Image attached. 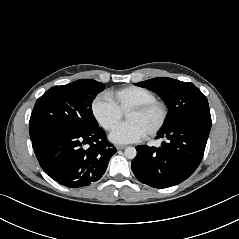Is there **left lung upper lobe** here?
<instances>
[{
	"instance_id": "1",
	"label": "left lung upper lobe",
	"mask_w": 239,
	"mask_h": 239,
	"mask_svg": "<svg viewBox=\"0 0 239 239\" xmlns=\"http://www.w3.org/2000/svg\"><path fill=\"white\" fill-rule=\"evenodd\" d=\"M136 85L156 92L165 101L169 113L164 127L191 120L211 121L207 98L192 83L159 77Z\"/></svg>"
}]
</instances>
